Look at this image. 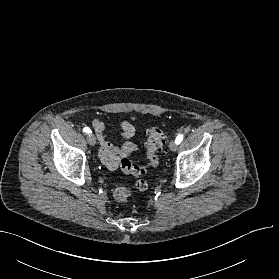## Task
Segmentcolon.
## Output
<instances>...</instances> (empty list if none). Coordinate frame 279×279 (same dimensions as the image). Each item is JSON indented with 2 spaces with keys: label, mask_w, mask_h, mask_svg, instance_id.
Instances as JSON below:
<instances>
[{
  "label": "colon",
  "mask_w": 279,
  "mask_h": 279,
  "mask_svg": "<svg viewBox=\"0 0 279 279\" xmlns=\"http://www.w3.org/2000/svg\"><path fill=\"white\" fill-rule=\"evenodd\" d=\"M164 142L165 134L161 129L157 127L149 129L146 143L148 165L146 167L139 166L132 163L129 159L124 158L121 160V169L123 172L134 176H143L149 169L156 168L159 165V153L163 150ZM134 187L138 191H144L147 189L148 185L144 179H138ZM113 195L116 200L125 202L131 197L132 191L126 186H119L114 189Z\"/></svg>",
  "instance_id": "colon-1"
}]
</instances>
